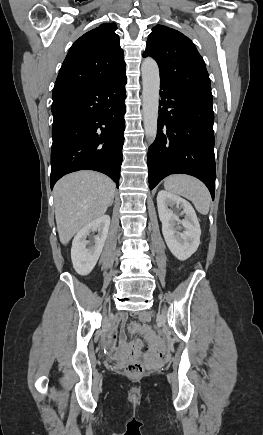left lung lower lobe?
Returning <instances> with one entry per match:
<instances>
[{"mask_svg":"<svg viewBox=\"0 0 263 435\" xmlns=\"http://www.w3.org/2000/svg\"><path fill=\"white\" fill-rule=\"evenodd\" d=\"M158 130L148 152L152 190L170 174L200 179L215 194L214 113L212 96L160 84Z\"/></svg>","mask_w":263,"mask_h":435,"instance_id":"left-lung-lower-lobe-1","label":"left lung lower lobe"}]
</instances>
